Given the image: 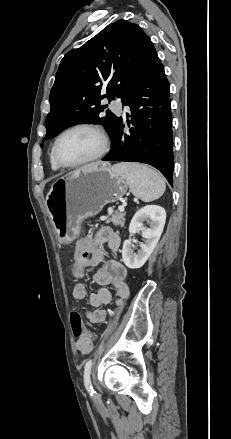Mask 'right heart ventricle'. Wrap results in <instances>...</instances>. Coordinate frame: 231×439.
Returning <instances> with one entry per match:
<instances>
[{"label":"right heart ventricle","mask_w":231,"mask_h":439,"mask_svg":"<svg viewBox=\"0 0 231 439\" xmlns=\"http://www.w3.org/2000/svg\"><path fill=\"white\" fill-rule=\"evenodd\" d=\"M50 165H51V168L53 169V170H59L61 167L56 163V161H55V159H54V157H53V152H52V148H51V151H50Z\"/></svg>","instance_id":"obj_1"}]
</instances>
